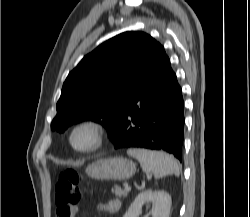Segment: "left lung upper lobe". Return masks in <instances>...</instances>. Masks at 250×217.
<instances>
[{"label":"left lung upper lobe","instance_id":"1","mask_svg":"<svg viewBox=\"0 0 250 217\" xmlns=\"http://www.w3.org/2000/svg\"><path fill=\"white\" fill-rule=\"evenodd\" d=\"M161 44L143 32H124L86 55L66 78L53 119L64 132L84 120L101 123L111 137L141 79L156 60Z\"/></svg>","mask_w":250,"mask_h":217}]
</instances>
